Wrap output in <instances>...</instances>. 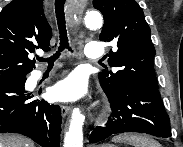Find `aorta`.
<instances>
[{
  "mask_svg": "<svg viewBox=\"0 0 183 147\" xmlns=\"http://www.w3.org/2000/svg\"><path fill=\"white\" fill-rule=\"evenodd\" d=\"M83 23L89 29L100 28L103 24V18L99 12H87L83 18ZM85 116L79 108L72 111L69 129L65 134L64 147H83V132Z\"/></svg>",
  "mask_w": 183,
  "mask_h": 147,
  "instance_id": "obj_1",
  "label": "aorta"
}]
</instances>
